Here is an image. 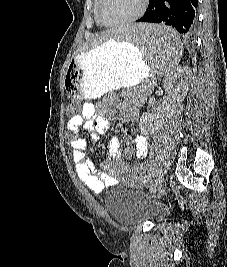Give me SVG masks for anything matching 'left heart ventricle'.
Instances as JSON below:
<instances>
[{
  "instance_id": "1",
  "label": "left heart ventricle",
  "mask_w": 227,
  "mask_h": 267,
  "mask_svg": "<svg viewBox=\"0 0 227 267\" xmlns=\"http://www.w3.org/2000/svg\"><path fill=\"white\" fill-rule=\"evenodd\" d=\"M140 5L141 0H104L103 14L108 21H118L131 17Z\"/></svg>"
}]
</instances>
